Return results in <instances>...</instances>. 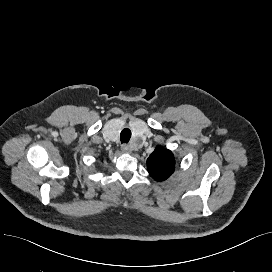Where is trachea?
I'll list each match as a JSON object with an SVG mask.
<instances>
[{
	"label": "trachea",
	"mask_w": 272,
	"mask_h": 272,
	"mask_svg": "<svg viewBox=\"0 0 272 272\" xmlns=\"http://www.w3.org/2000/svg\"><path fill=\"white\" fill-rule=\"evenodd\" d=\"M131 138V131L128 128H124L120 134L121 143H128Z\"/></svg>",
	"instance_id": "obj_1"
}]
</instances>
